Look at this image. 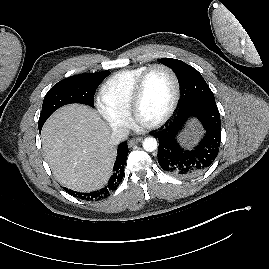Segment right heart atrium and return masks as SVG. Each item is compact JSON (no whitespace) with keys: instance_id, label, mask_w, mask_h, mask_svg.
<instances>
[{"instance_id":"d8ad5b80","label":"right heart atrium","mask_w":269,"mask_h":269,"mask_svg":"<svg viewBox=\"0 0 269 269\" xmlns=\"http://www.w3.org/2000/svg\"><path fill=\"white\" fill-rule=\"evenodd\" d=\"M100 115L115 130H124L130 126L128 114L119 112L109 107L102 99L96 101Z\"/></svg>"}]
</instances>
